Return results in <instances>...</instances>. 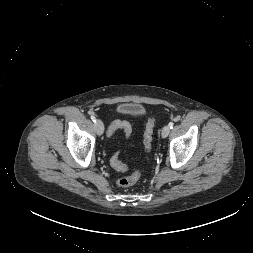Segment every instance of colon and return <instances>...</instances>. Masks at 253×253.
Returning <instances> with one entry per match:
<instances>
[{
	"mask_svg": "<svg viewBox=\"0 0 253 253\" xmlns=\"http://www.w3.org/2000/svg\"><path fill=\"white\" fill-rule=\"evenodd\" d=\"M117 129H121L125 132L126 136H129L131 133V127L128 122L126 121H116L114 122L110 129H109V134H113ZM153 129H154V120L149 119L147 121L145 131H144V138H143V143H144V148L146 154H149L151 151L152 147V138H153ZM111 164L112 166L118 170V171H126V167L120 162L118 154L113 155L111 158ZM140 171L138 169H132L130 171V174L128 176L122 177L117 180V184L120 187H130L137 183V181L140 178Z\"/></svg>",
	"mask_w": 253,
	"mask_h": 253,
	"instance_id": "5ec220e1",
	"label": "colon"
}]
</instances>
